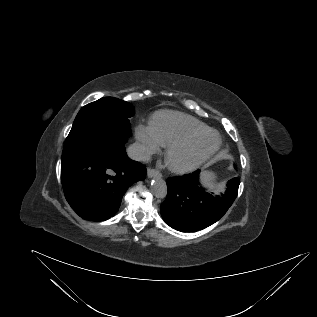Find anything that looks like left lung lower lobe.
I'll return each mask as SVG.
<instances>
[{"mask_svg": "<svg viewBox=\"0 0 317 317\" xmlns=\"http://www.w3.org/2000/svg\"><path fill=\"white\" fill-rule=\"evenodd\" d=\"M199 172L167 179L168 194L160 209L164 221L173 229L193 232L212 225L226 213L238 194L237 177L228 182L224 195L215 196L200 186Z\"/></svg>", "mask_w": 317, "mask_h": 317, "instance_id": "0a47b994", "label": "left lung lower lobe"}]
</instances>
